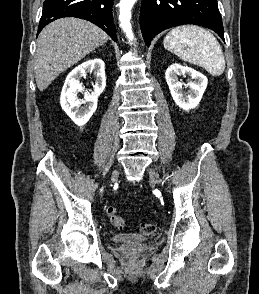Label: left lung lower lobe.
I'll return each mask as SVG.
<instances>
[{"mask_svg":"<svg viewBox=\"0 0 259 294\" xmlns=\"http://www.w3.org/2000/svg\"><path fill=\"white\" fill-rule=\"evenodd\" d=\"M140 10V26L147 46L158 33L183 24L209 28L225 41L217 0H142Z\"/></svg>","mask_w":259,"mask_h":294,"instance_id":"0a47b994","label":"left lung lower lobe"}]
</instances>
